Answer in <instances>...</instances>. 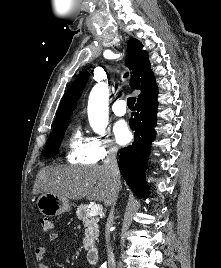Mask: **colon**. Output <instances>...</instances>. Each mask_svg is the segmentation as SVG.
I'll return each mask as SVG.
<instances>
[{"label": "colon", "mask_w": 221, "mask_h": 268, "mask_svg": "<svg viewBox=\"0 0 221 268\" xmlns=\"http://www.w3.org/2000/svg\"><path fill=\"white\" fill-rule=\"evenodd\" d=\"M40 222H41V227L44 231H50L53 228V224L51 220L47 217H42Z\"/></svg>", "instance_id": "obj_1"}]
</instances>
